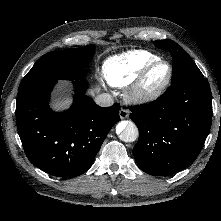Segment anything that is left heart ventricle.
I'll use <instances>...</instances> for the list:
<instances>
[{
    "label": "left heart ventricle",
    "mask_w": 221,
    "mask_h": 221,
    "mask_svg": "<svg viewBox=\"0 0 221 221\" xmlns=\"http://www.w3.org/2000/svg\"><path fill=\"white\" fill-rule=\"evenodd\" d=\"M166 73H167V68L165 65L157 66L149 75L148 85L150 87H154L160 84L164 80Z\"/></svg>",
    "instance_id": "b2bd125f"
}]
</instances>
